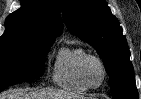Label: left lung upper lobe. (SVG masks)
<instances>
[{
	"instance_id": "1",
	"label": "left lung upper lobe",
	"mask_w": 141,
	"mask_h": 99,
	"mask_svg": "<svg viewBox=\"0 0 141 99\" xmlns=\"http://www.w3.org/2000/svg\"><path fill=\"white\" fill-rule=\"evenodd\" d=\"M65 24L91 44L102 58L114 99H137L126 38L105 0H61Z\"/></svg>"
}]
</instances>
